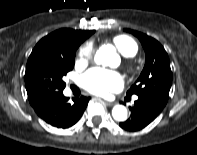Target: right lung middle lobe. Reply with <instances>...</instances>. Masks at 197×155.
<instances>
[{"label":"right lung middle lobe","mask_w":197,"mask_h":155,"mask_svg":"<svg viewBox=\"0 0 197 155\" xmlns=\"http://www.w3.org/2000/svg\"><path fill=\"white\" fill-rule=\"evenodd\" d=\"M79 45H44L34 49L29 56L25 72L28 96L54 99L62 94L66 85L62 77L73 69Z\"/></svg>","instance_id":"dd1d6c3e"}]
</instances>
